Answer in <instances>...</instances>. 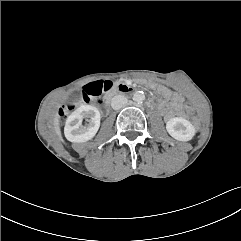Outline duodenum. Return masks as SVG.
Here are the masks:
<instances>
[{"label":"duodenum","mask_w":241,"mask_h":241,"mask_svg":"<svg viewBox=\"0 0 241 241\" xmlns=\"http://www.w3.org/2000/svg\"><path fill=\"white\" fill-rule=\"evenodd\" d=\"M108 91H109L108 95L111 96L114 93H127L130 91V87L124 83H121L112 87V83H111V86L109 87Z\"/></svg>","instance_id":"410a0bca"}]
</instances>
